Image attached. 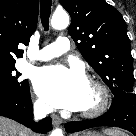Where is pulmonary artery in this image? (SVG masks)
I'll return each instance as SVG.
<instances>
[{"label":"pulmonary artery","instance_id":"e3ab8cb5","mask_svg":"<svg viewBox=\"0 0 136 136\" xmlns=\"http://www.w3.org/2000/svg\"><path fill=\"white\" fill-rule=\"evenodd\" d=\"M70 43L68 38L59 37L54 43L44 47L37 54V59L41 61L58 57L69 50Z\"/></svg>","mask_w":136,"mask_h":136}]
</instances>
